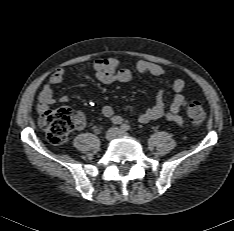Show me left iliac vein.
Returning a JSON list of instances; mask_svg holds the SVG:
<instances>
[{"label": "left iliac vein", "mask_w": 234, "mask_h": 231, "mask_svg": "<svg viewBox=\"0 0 234 231\" xmlns=\"http://www.w3.org/2000/svg\"><path fill=\"white\" fill-rule=\"evenodd\" d=\"M128 134L123 130H118V136H127Z\"/></svg>", "instance_id": "4c4485c4"}]
</instances>
